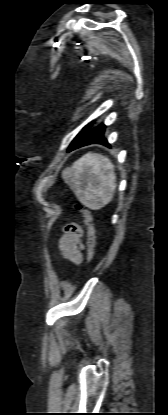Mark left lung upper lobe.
<instances>
[{
	"instance_id": "5c2ea615",
	"label": "left lung upper lobe",
	"mask_w": 168,
	"mask_h": 415,
	"mask_svg": "<svg viewBox=\"0 0 168 415\" xmlns=\"http://www.w3.org/2000/svg\"><path fill=\"white\" fill-rule=\"evenodd\" d=\"M90 126V124H88L87 126H85L80 132L79 134L75 137V139L72 141L71 145L72 146L74 144V142L88 129V127Z\"/></svg>"
}]
</instances>
